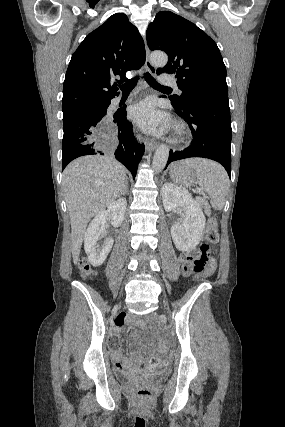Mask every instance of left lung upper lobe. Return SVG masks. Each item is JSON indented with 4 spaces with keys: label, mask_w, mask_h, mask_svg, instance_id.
<instances>
[{
    "label": "left lung upper lobe",
    "mask_w": 285,
    "mask_h": 427,
    "mask_svg": "<svg viewBox=\"0 0 285 427\" xmlns=\"http://www.w3.org/2000/svg\"><path fill=\"white\" fill-rule=\"evenodd\" d=\"M150 50H162L168 63L160 73L174 74L182 91L170 97L183 106L186 102L210 99L228 103L226 67L216 43L195 24L170 11L156 14L146 32Z\"/></svg>",
    "instance_id": "1"
}]
</instances>
